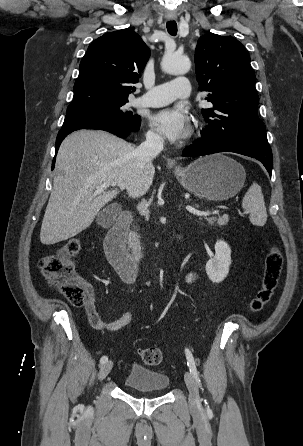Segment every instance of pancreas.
Masks as SVG:
<instances>
[{
	"label": "pancreas",
	"mask_w": 303,
	"mask_h": 446,
	"mask_svg": "<svg viewBox=\"0 0 303 446\" xmlns=\"http://www.w3.org/2000/svg\"><path fill=\"white\" fill-rule=\"evenodd\" d=\"M205 219L209 224H211V225L217 224L218 226H224L229 221L227 216H220L218 218L210 217V218H205ZM128 244H129L130 249H132L134 251L140 250L139 236L135 231H131L129 233Z\"/></svg>",
	"instance_id": "1"
}]
</instances>
